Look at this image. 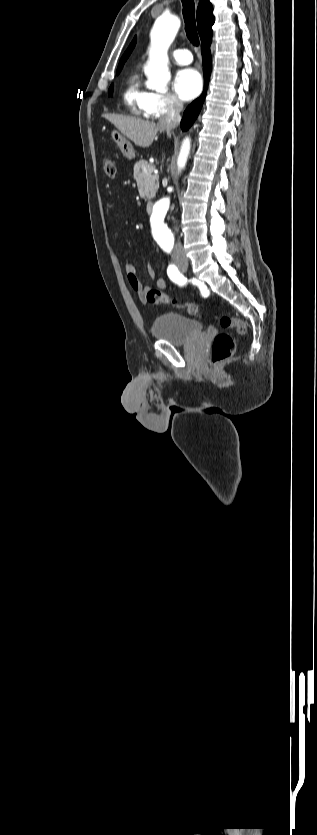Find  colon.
<instances>
[{
  "mask_svg": "<svg viewBox=\"0 0 317 835\" xmlns=\"http://www.w3.org/2000/svg\"><path fill=\"white\" fill-rule=\"evenodd\" d=\"M103 170L104 173L109 178H114L116 176V164L110 158H105L103 160ZM146 300L154 305L159 306H166V305H175L177 307L183 308L189 315L192 316H199L200 312L198 307L192 303H178L175 300L168 297L164 294L160 289H150L145 293ZM215 320L219 323V325L223 328H235L239 335H244L246 333V324L233 316L229 315H220L216 316ZM235 352V341L234 338L227 333H220L218 334L212 343L211 348V362L213 364H219L226 359L230 358Z\"/></svg>",
  "mask_w": 317,
  "mask_h": 835,
  "instance_id": "obj_1",
  "label": "colon"
}]
</instances>
